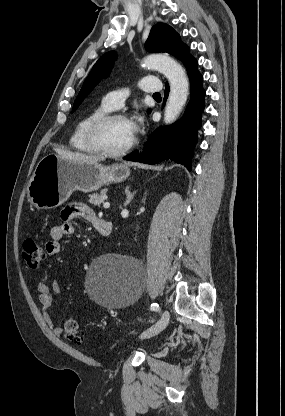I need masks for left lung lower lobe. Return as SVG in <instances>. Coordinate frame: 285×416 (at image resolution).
Returning <instances> with one entry per match:
<instances>
[{
	"label": "left lung lower lobe",
	"instance_id": "0a47b994",
	"mask_svg": "<svg viewBox=\"0 0 285 416\" xmlns=\"http://www.w3.org/2000/svg\"><path fill=\"white\" fill-rule=\"evenodd\" d=\"M197 61L192 58L185 66L191 83V99L180 121L157 129L145 143L142 151L124 157V160L156 164L164 160H173L191 169L190 158L197 143V130L201 127V114L204 110L205 91L202 88L203 76L197 70ZM169 87L166 85V100Z\"/></svg>",
	"mask_w": 285,
	"mask_h": 416
}]
</instances>
